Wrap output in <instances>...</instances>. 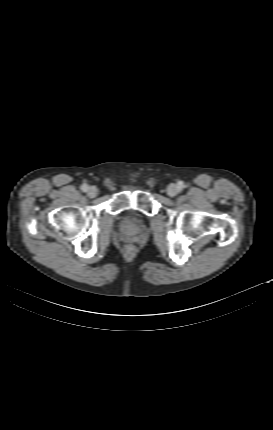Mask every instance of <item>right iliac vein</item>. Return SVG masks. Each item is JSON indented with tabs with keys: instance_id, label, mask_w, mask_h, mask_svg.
Segmentation results:
<instances>
[{
	"instance_id": "1",
	"label": "right iliac vein",
	"mask_w": 273,
	"mask_h": 430,
	"mask_svg": "<svg viewBox=\"0 0 273 430\" xmlns=\"http://www.w3.org/2000/svg\"><path fill=\"white\" fill-rule=\"evenodd\" d=\"M87 195L90 198H94L97 195V188L94 186L89 187L88 191H87Z\"/></svg>"
}]
</instances>
